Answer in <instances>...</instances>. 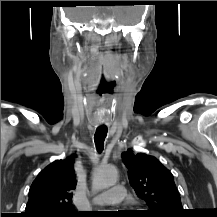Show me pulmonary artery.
Instances as JSON below:
<instances>
[{
    "label": "pulmonary artery",
    "instance_id": "pulmonary-artery-1",
    "mask_svg": "<svg viewBox=\"0 0 217 217\" xmlns=\"http://www.w3.org/2000/svg\"><path fill=\"white\" fill-rule=\"evenodd\" d=\"M125 196V188L121 185H115L110 190L95 196L92 202L99 206L113 205L123 202Z\"/></svg>",
    "mask_w": 217,
    "mask_h": 217
}]
</instances>
